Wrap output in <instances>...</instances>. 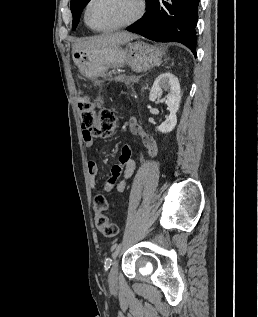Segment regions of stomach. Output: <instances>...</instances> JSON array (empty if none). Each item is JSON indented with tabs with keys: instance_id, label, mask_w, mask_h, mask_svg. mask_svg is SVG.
<instances>
[{
	"instance_id": "obj_1",
	"label": "stomach",
	"mask_w": 258,
	"mask_h": 317,
	"mask_svg": "<svg viewBox=\"0 0 258 317\" xmlns=\"http://www.w3.org/2000/svg\"><path fill=\"white\" fill-rule=\"evenodd\" d=\"M164 50L136 40L127 42L125 48L103 46L95 50H73L72 58L83 76H102L108 68L129 64L136 72H144L162 62Z\"/></svg>"
}]
</instances>
